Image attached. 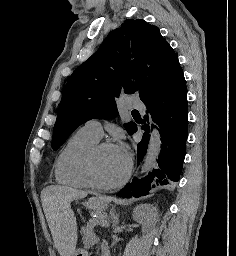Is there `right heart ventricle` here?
Instances as JSON below:
<instances>
[{
  "label": "right heart ventricle",
  "mask_w": 236,
  "mask_h": 256,
  "mask_svg": "<svg viewBox=\"0 0 236 256\" xmlns=\"http://www.w3.org/2000/svg\"><path fill=\"white\" fill-rule=\"evenodd\" d=\"M98 142L82 129L74 133L55 161L56 182L72 188H91L87 175V161Z\"/></svg>",
  "instance_id": "obj_1"
}]
</instances>
